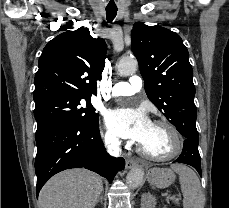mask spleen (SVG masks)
Segmentation results:
<instances>
[{"mask_svg":"<svg viewBox=\"0 0 229 208\" xmlns=\"http://www.w3.org/2000/svg\"><path fill=\"white\" fill-rule=\"evenodd\" d=\"M171 168L176 174H179L181 192L184 196V208H203L201 184L195 172L182 164H171Z\"/></svg>","mask_w":229,"mask_h":208,"instance_id":"obj_1","label":"spleen"}]
</instances>
